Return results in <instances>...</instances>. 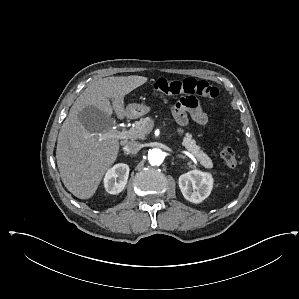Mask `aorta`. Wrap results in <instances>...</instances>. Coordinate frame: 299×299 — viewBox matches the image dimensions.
Wrapping results in <instances>:
<instances>
[{
	"label": "aorta",
	"mask_w": 299,
	"mask_h": 299,
	"mask_svg": "<svg viewBox=\"0 0 299 299\" xmlns=\"http://www.w3.org/2000/svg\"><path fill=\"white\" fill-rule=\"evenodd\" d=\"M164 160V153L162 150L153 148L148 152V161L152 166H159Z\"/></svg>",
	"instance_id": "1"
}]
</instances>
